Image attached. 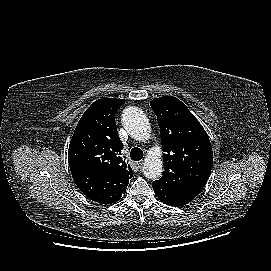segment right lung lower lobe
<instances>
[{"label":"right lung lower lobe","instance_id":"1","mask_svg":"<svg viewBox=\"0 0 271 271\" xmlns=\"http://www.w3.org/2000/svg\"><path fill=\"white\" fill-rule=\"evenodd\" d=\"M71 174L83 194L101 204L117 202L128 185L119 177L91 170H72Z\"/></svg>","mask_w":271,"mask_h":271}]
</instances>
